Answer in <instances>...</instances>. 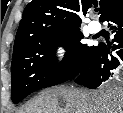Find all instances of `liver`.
Segmentation results:
<instances>
[{"mask_svg":"<svg viewBox=\"0 0 123 113\" xmlns=\"http://www.w3.org/2000/svg\"><path fill=\"white\" fill-rule=\"evenodd\" d=\"M19 113H123V92L55 87L42 91Z\"/></svg>","mask_w":123,"mask_h":113,"instance_id":"liver-1","label":"liver"}]
</instances>
